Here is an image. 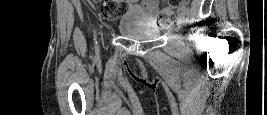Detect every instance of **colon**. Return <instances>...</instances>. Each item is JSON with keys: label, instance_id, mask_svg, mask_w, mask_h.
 Instances as JSON below:
<instances>
[{"label": "colon", "instance_id": "5ec220e1", "mask_svg": "<svg viewBox=\"0 0 267 115\" xmlns=\"http://www.w3.org/2000/svg\"><path fill=\"white\" fill-rule=\"evenodd\" d=\"M186 0H170L157 14L159 23L167 24L175 18L177 8ZM128 4L125 0H105L101 5L100 15L103 19L113 21L127 12Z\"/></svg>", "mask_w": 267, "mask_h": 115}]
</instances>
